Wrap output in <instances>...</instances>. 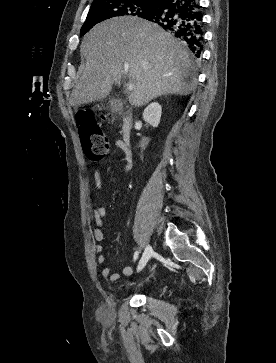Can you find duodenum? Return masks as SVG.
I'll return each instance as SVG.
<instances>
[{
    "label": "duodenum",
    "mask_w": 276,
    "mask_h": 363,
    "mask_svg": "<svg viewBox=\"0 0 276 363\" xmlns=\"http://www.w3.org/2000/svg\"><path fill=\"white\" fill-rule=\"evenodd\" d=\"M133 128V114L130 111H127L123 115L122 127H121V136L125 146L130 145L131 132Z\"/></svg>",
    "instance_id": "obj_1"
}]
</instances>
